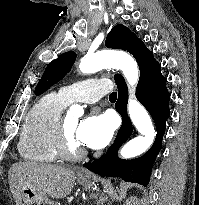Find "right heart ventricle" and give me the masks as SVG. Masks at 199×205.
I'll use <instances>...</instances> for the list:
<instances>
[{
    "label": "right heart ventricle",
    "mask_w": 199,
    "mask_h": 205,
    "mask_svg": "<svg viewBox=\"0 0 199 205\" xmlns=\"http://www.w3.org/2000/svg\"><path fill=\"white\" fill-rule=\"evenodd\" d=\"M66 105L68 103L59 93H49L31 108L24 120L18 144L23 159L38 164L57 161L54 136Z\"/></svg>",
    "instance_id": "1"
}]
</instances>
